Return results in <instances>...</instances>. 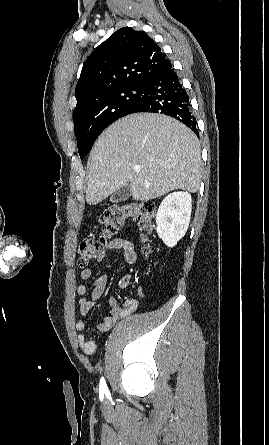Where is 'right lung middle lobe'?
<instances>
[{
    "label": "right lung middle lobe",
    "mask_w": 269,
    "mask_h": 445,
    "mask_svg": "<svg viewBox=\"0 0 269 445\" xmlns=\"http://www.w3.org/2000/svg\"><path fill=\"white\" fill-rule=\"evenodd\" d=\"M146 90L147 84L122 86L88 100L74 111L75 135L81 159L106 127L132 112Z\"/></svg>",
    "instance_id": "1"
}]
</instances>
